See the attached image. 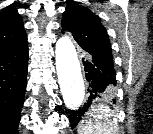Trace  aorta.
Here are the masks:
<instances>
[{
    "mask_svg": "<svg viewBox=\"0 0 153 134\" xmlns=\"http://www.w3.org/2000/svg\"><path fill=\"white\" fill-rule=\"evenodd\" d=\"M58 82L65 105L76 109L83 103L85 85L74 44L68 36L61 37L55 46Z\"/></svg>",
    "mask_w": 153,
    "mask_h": 134,
    "instance_id": "1",
    "label": "aorta"
}]
</instances>
